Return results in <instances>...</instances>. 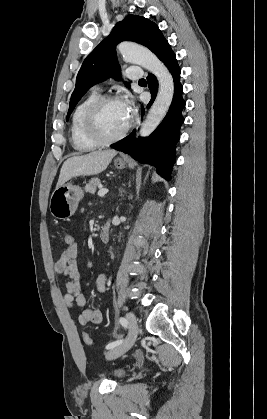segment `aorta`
<instances>
[{
    "instance_id": "762f6f07",
    "label": "aorta",
    "mask_w": 267,
    "mask_h": 419,
    "mask_svg": "<svg viewBox=\"0 0 267 419\" xmlns=\"http://www.w3.org/2000/svg\"><path fill=\"white\" fill-rule=\"evenodd\" d=\"M125 61L138 64L154 74L159 83L157 97L141 125L140 135L149 136L165 117L174 95V81L167 67L150 50L124 42L118 46Z\"/></svg>"
}]
</instances>
